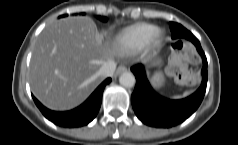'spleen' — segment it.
<instances>
[{
  "label": "spleen",
  "instance_id": "3e777b00",
  "mask_svg": "<svg viewBox=\"0 0 238 145\" xmlns=\"http://www.w3.org/2000/svg\"><path fill=\"white\" fill-rule=\"evenodd\" d=\"M191 92H192V91H186V92L183 94V96H187V95H189Z\"/></svg>",
  "mask_w": 238,
  "mask_h": 145
}]
</instances>
